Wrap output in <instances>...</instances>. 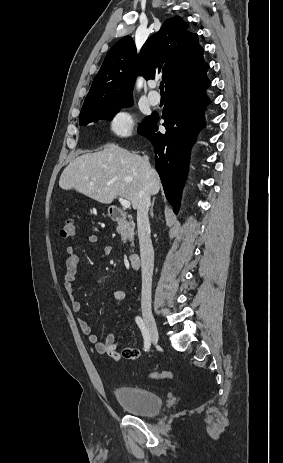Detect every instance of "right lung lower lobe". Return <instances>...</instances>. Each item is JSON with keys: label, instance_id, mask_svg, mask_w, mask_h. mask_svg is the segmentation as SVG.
Instances as JSON below:
<instances>
[{"label": "right lung lower lobe", "instance_id": "1", "mask_svg": "<svg viewBox=\"0 0 283 463\" xmlns=\"http://www.w3.org/2000/svg\"><path fill=\"white\" fill-rule=\"evenodd\" d=\"M209 86L207 76L166 91L162 113L165 133H160L157 113L146 118L138 133L147 137L155 149V165L161 178L165 196L177 213L186 174L190 149L196 134L203 127V112L209 100L205 91Z\"/></svg>", "mask_w": 283, "mask_h": 463}]
</instances>
